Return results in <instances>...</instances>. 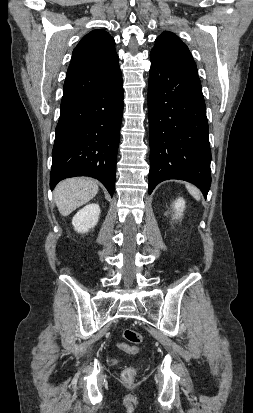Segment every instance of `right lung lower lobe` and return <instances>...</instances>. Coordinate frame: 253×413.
Instances as JSON below:
<instances>
[{"instance_id":"obj_1","label":"right lung lower lobe","mask_w":253,"mask_h":413,"mask_svg":"<svg viewBox=\"0 0 253 413\" xmlns=\"http://www.w3.org/2000/svg\"><path fill=\"white\" fill-rule=\"evenodd\" d=\"M60 110L50 188L65 178L89 176L113 196L123 113L121 71L93 92L62 103Z\"/></svg>"}]
</instances>
